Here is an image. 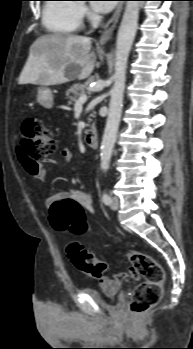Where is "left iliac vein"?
Instances as JSON below:
<instances>
[{"label": "left iliac vein", "instance_id": "obj_1", "mask_svg": "<svg viewBox=\"0 0 193 349\" xmlns=\"http://www.w3.org/2000/svg\"><path fill=\"white\" fill-rule=\"evenodd\" d=\"M111 208L116 210L119 207V199L116 196H113L111 199V204H110Z\"/></svg>", "mask_w": 193, "mask_h": 349}]
</instances>
